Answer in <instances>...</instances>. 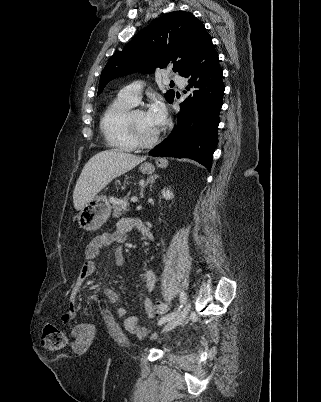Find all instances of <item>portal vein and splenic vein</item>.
Instances as JSON below:
<instances>
[{
    "label": "portal vein and splenic vein",
    "mask_w": 321,
    "mask_h": 402,
    "mask_svg": "<svg viewBox=\"0 0 321 402\" xmlns=\"http://www.w3.org/2000/svg\"><path fill=\"white\" fill-rule=\"evenodd\" d=\"M138 201V198L136 196L131 197V202L135 203Z\"/></svg>",
    "instance_id": "1"
}]
</instances>
